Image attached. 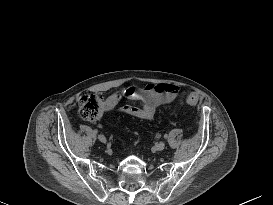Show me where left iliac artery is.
<instances>
[{"instance_id":"44dca946","label":"left iliac artery","mask_w":273,"mask_h":205,"mask_svg":"<svg viewBox=\"0 0 273 205\" xmlns=\"http://www.w3.org/2000/svg\"><path fill=\"white\" fill-rule=\"evenodd\" d=\"M164 138H165V139H167V138H168V135H167V134H165V135H164Z\"/></svg>"}]
</instances>
